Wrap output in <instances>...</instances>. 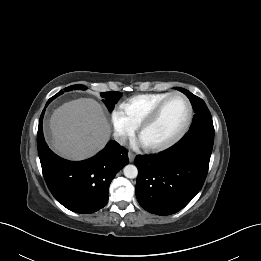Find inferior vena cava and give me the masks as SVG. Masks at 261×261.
Wrapping results in <instances>:
<instances>
[{"mask_svg": "<svg viewBox=\"0 0 261 261\" xmlns=\"http://www.w3.org/2000/svg\"><path fill=\"white\" fill-rule=\"evenodd\" d=\"M114 138L121 145L125 144L127 141V136L125 134H116Z\"/></svg>", "mask_w": 261, "mask_h": 261, "instance_id": "inferior-vena-cava-1", "label": "inferior vena cava"}]
</instances>
